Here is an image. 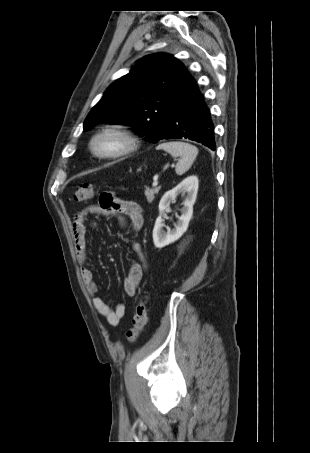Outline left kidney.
I'll return each mask as SVG.
<instances>
[{"mask_svg": "<svg viewBox=\"0 0 310 453\" xmlns=\"http://www.w3.org/2000/svg\"><path fill=\"white\" fill-rule=\"evenodd\" d=\"M197 192L198 178L197 176L192 175L163 195L159 203V216L155 221L153 229V242L155 247L163 248L178 240L186 232L189 221L193 215V205L196 201ZM185 193L187 195L183 202L181 216L178 218V221L172 230L168 229L167 232L164 231V220L162 219L164 211L170 207L171 203H175L178 195H184Z\"/></svg>", "mask_w": 310, "mask_h": 453, "instance_id": "1", "label": "left kidney"}]
</instances>
